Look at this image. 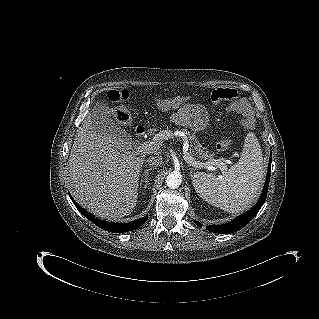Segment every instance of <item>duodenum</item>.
<instances>
[{
  "label": "duodenum",
  "mask_w": 319,
  "mask_h": 319,
  "mask_svg": "<svg viewBox=\"0 0 319 319\" xmlns=\"http://www.w3.org/2000/svg\"><path fill=\"white\" fill-rule=\"evenodd\" d=\"M145 133H146V128L144 126L139 125V126L136 127L135 135H136L137 138H140V137L144 136Z\"/></svg>",
  "instance_id": "410a0bca"
}]
</instances>
